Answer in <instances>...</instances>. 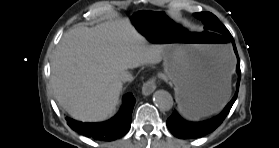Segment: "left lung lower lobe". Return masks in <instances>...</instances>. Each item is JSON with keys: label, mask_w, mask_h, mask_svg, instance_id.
<instances>
[{"label": "left lung lower lobe", "mask_w": 279, "mask_h": 148, "mask_svg": "<svg viewBox=\"0 0 279 148\" xmlns=\"http://www.w3.org/2000/svg\"><path fill=\"white\" fill-rule=\"evenodd\" d=\"M229 37V39L232 41L233 47H234V51L235 54L237 56V74H238V81H237V90L236 93L234 95V97L232 98V100L227 104V106L225 107V109L216 117L207 120V121H203V122H196V123H192V122H187L184 119H182L179 114L175 111L172 113V115L167 119V126L169 128V130L171 131V133L181 139H193V138H199L202 137L212 131H214L222 122L223 120L226 118V116L228 115L231 107L233 106L237 96H238V90H239V83H240V60H239V56H238V52L235 46V42L233 37L231 36V34L226 35ZM224 38L229 41L225 36Z\"/></svg>", "instance_id": "1"}]
</instances>
